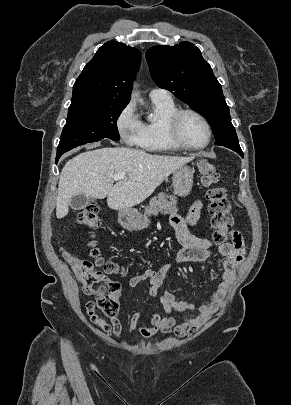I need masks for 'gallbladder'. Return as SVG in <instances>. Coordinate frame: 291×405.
<instances>
[{
    "label": "gallbladder",
    "mask_w": 291,
    "mask_h": 405,
    "mask_svg": "<svg viewBox=\"0 0 291 405\" xmlns=\"http://www.w3.org/2000/svg\"><path fill=\"white\" fill-rule=\"evenodd\" d=\"M91 201H93L90 197L85 194H78L74 196L70 201V207L73 210H82L84 209Z\"/></svg>",
    "instance_id": "obj_1"
}]
</instances>
